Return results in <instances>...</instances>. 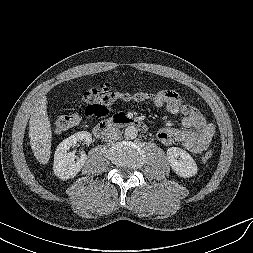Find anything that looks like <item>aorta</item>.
<instances>
[{
    "mask_svg": "<svg viewBox=\"0 0 253 253\" xmlns=\"http://www.w3.org/2000/svg\"><path fill=\"white\" fill-rule=\"evenodd\" d=\"M125 137L128 138V139H134L137 137L138 135V130L135 126H128L126 129H125Z\"/></svg>",
    "mask_w": 253,
    "mask_h": 253,
    "instance_id": "obj_1",
    "label": "aorta"
}]
</instances>
